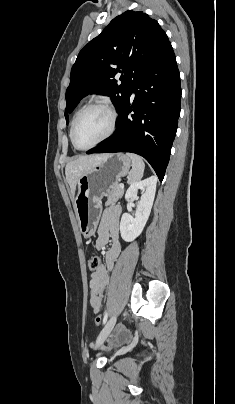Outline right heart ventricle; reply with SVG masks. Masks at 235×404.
<instances>
[{"instance_id":"obj_1","label":"right heart ventricle","mask_w":235,"mask_h":404,"mask_svg":"<svg viewBox=\"0 0 235 404\" xmlns=\"http://www.w3.org/2000/svg\"><path fill=\"white\" fill-rule=\"evenodd\" d=\"M82 109H83V108H82ZM82 109H80V110L75 114L74 119H75V117L77 116V114H78ZM74 119H73V121H74ZM72 124H73V122H72ZM71 127H72V125H71ZM70 131H71V128H70Z\"/></svg>"}]
</instances>
